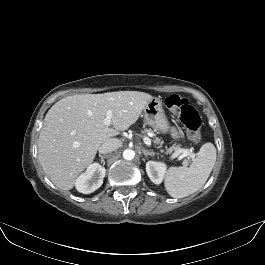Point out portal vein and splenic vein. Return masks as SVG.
Wrapping results in <instances>:
<instances>
[{"instance_id": "obj_1", "label": "portal vein and splenic vein", "mask_w": 265, "mask_h": 265, "mask_svg": "<svg viewBox=\"0 0 265 265\" xmlns=\"http://www.w3.org/2000/svg\"><path fill=\"white\" fill-rule=\"evenodd\" d=\"M112 118H113V113H112V111H107V114H106V118L104 119V124L106 125V126H109L110 124H111V122H112ZM143 141H144V143L147 145V146H151V139L149 138V137H144L143 138ZM178 156V154H174L173 156H172V158H176ZM185 156H189V157H191V158H194L195 157V154H193V153H191V152H189V150H184L183 151V154L180 156V158H183V157H185Z\"/></svg>"}]
</instances>
